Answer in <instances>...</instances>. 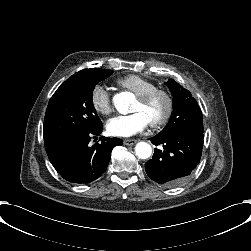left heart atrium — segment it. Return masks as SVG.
<instances>
[{
  "label": "left heart atrium",
  "mask_w": 251,
  "mask_h": 251,
  "mask_svg": "<svg viewBox=\"0 0 251 251\" xmlns=\"http://www.w3.org/2000/svg\"><path fill=\"white\" fill-rule=\"evenodd\" d=\"M151 123L147 113L141 109L130 114H120L108 120L107 131L113 136L129 137L144 130Z\"/></svg>",
  "instance_id": "1"
}]
</instances>
